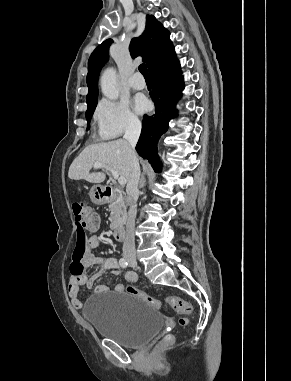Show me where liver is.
<instances>
[{
    "instance_id": "6515ba94",
    "label": "liver",
    "mask_w": 291,
    "mask_h": 381,
    "mask_svg": "<svg viewBox=\"0 0 291 381\" xmlns=\"http://www.w3.org/2000/svg\"><path fill=\"white\" fill-rule=\"evenodd\" d=\"M129 151L130 145L125 139L89 145L70 165L68 177L72 180L85 179L90 183H101L105 180L106 174L90 173V170L94 163H102L116 170L128 183L131 176Z\"/></svg>"
}]
</instances>
